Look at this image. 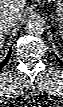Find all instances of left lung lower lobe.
Wrapping results in <instances>:
<instances>
[{"instance_id":"0a47b994","label":"left lung lower lobe","mask_w":63,"mask_h":107,"mask_svg":"<svg viewBox=\"0 0 63 107\" xmlns=\"http://www.w3.org/2000/svg\"><path fill=\"white\" fill-rule=\"evenodd\" d=\"M57 59H58V61L63 65L62 61H61V60H59V58H57Z\"/></svg>"}]
</instances>
